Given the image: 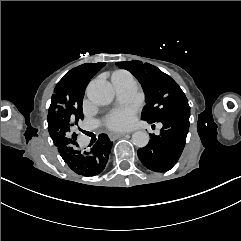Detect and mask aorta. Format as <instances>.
Returning <instances> with one entry per match:
<instances>
[{
    "label": "aorta",
    "mask_w": 241,
    "mask_h": 241,
    "mask_svg": "<svg viewBox=\"0 0 241 241\" xmlns=\"http://www.w3.org/2000/svg\"><path fill=\"white\" fill-rule=\"evenodd\" d=\"M87 97L96 105H107L114 99V90L108 81L95 79L87 87ZM149 139L146 131H136L132 135V142L138 147H145L149 143Z\"/></svg>",
    "instance_id": "762f6f07"
}]
</instances>
